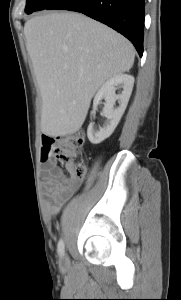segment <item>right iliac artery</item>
<instances>
[{"instance_id":"obj_1","label":"right iliac artery","mask_w":181,"mask_h":300,"mask_svg":"<svg viewBox=\"0 0 181 300\" xmlns=\"http://www.w3.org/2000/svg\"><path fill=\"white\" fill-rule=\"evenodd\" d=\"M57 251L60 256L64 254V240L62 238L58 242Z\"/></svg>"}]
</instances>
